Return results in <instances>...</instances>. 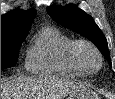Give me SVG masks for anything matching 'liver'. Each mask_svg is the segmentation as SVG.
<instances>
[{
    "label": "liver",
    "instance_id": "1",
    "mask_svg": "<svg viewBox=\"0 0 115 99\" xmlns=\"http://www.w3.org/2000/svg\"><path fill=\"white\" fill-rule=\"evenodd\" d=\"M83 87L58 77H16L1 80V99H62Z\"/></svg>",
    "mask_w": 115,
    "mask_h": 99
}]
</instances>
